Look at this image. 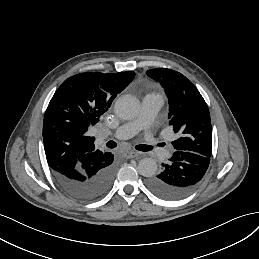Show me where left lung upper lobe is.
<instances>
[{
    "mask_svg": "<svg viewBox=\"0 0 259 259\" xmlns=\"http://www.w3.org/2000/svg\"><path fill=\"white\" fill-rule=\"evenodd\" d=\"M148 76L159 82L169 99V125L180 137L172 142L179 151L211 157L212 130L208 106L195 85L181 73L156 68Z\"/></svg>",
    "mask_w": 259,
    "mask_h": 259,
    "instance_id": "5c2ea615",
    "label": "left lung upper lobe"
}]
</instances>
